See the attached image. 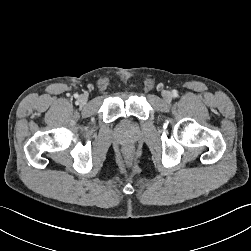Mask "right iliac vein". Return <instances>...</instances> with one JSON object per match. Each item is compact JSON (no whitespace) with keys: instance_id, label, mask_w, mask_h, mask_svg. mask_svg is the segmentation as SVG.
Instances as JSON below:
<instances>
[{"instance_id":"right-iliac-vein-1","label":"right iliac vein","mask_w":251,"mask_h":251,"mask_svg":"<svg viewBox=\"0 0 251 251\" xmlns=\"http://www.w3.org/2000/svg\"><path fill=\"white\" fill-rule=\"evenodd\" d=\"M88 97L86 95H81L78 98V101L81 105H85L87 103Z\"/></svg>"}]
</instances>
